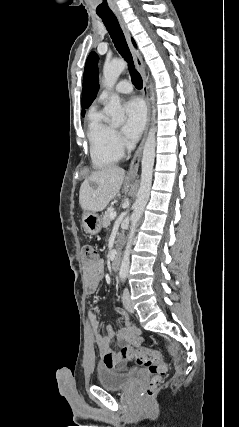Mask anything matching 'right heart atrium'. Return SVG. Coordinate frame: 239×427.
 Instances as JSON below:
<instances>
[{"instance_id": "d8ad5b80", "label": "right heart atrium", "mask_w": 239, "mask_h": 427, "mask_svg": "<svg viewBox=\"0 0 239 427\" xmlns=\"http://www.w3.org/2000/svg\"><path fill=\"white\" fill-rule=\"evenodd\" d=\"M114 138L117 146L122 149L125 146L124 140L118 132H114Z\"/></svg>"}]
</instances>
